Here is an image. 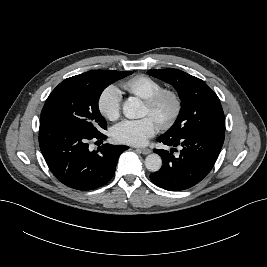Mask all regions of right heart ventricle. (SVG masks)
Instances as JSON below:
<instances>
[{
  "mask_svg": "<svg viewBox=\"0 0 267 267\" xmlns=\"http://www.w3.org/2000/svg\"><path fill=\"white\" fill-rule=\"evenodd\" d=\"M122 87L128 93L146 100L162 89V84L150 76L137 75L125 81Z\"/></svg>",
  "mask_w": 267,
  "mask_h": 267,
  "instance_id": "obj_1",
  "label": "right heart ventricle"
}]
</instances>
